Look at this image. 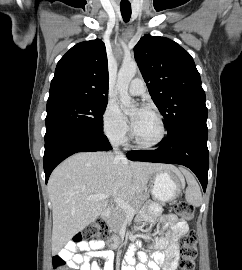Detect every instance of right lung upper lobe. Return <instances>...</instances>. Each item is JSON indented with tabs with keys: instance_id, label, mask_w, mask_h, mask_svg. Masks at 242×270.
<instances>
[{
	"instance_id": "obj_1",
	"label": "right lung upper lobe",
	"mask_w": 242,
	"mask_h": 270,
	"mask_svg": "<svg viewBox=\"0 0 242 270\" xmlns=\"http://www.w3.org/2000/svg\"><path fill=\"white\" fill-rule=\"evenodd\" d=\"M108 63L100 39L73 46L57 63L47 105L63 101L108 100Z\"/></svg>"
}]
</instances>
